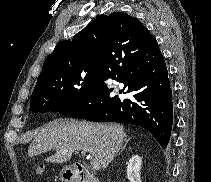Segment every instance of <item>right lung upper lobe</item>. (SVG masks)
<instances>
[{
    "label": "right lung upper lobe",
    "instance_id": "right-lung-upper-lobe-1",
    "mask_svg": "<svg viewBox=\"0 0 211 182\" xmlns=\"http://www.w3.org/2000/svg\"><path fill=\"white\" fill-rule=\"evenodd\" d=\"M152 37L136 18L122 12L100 15L72 40L59 42L45 59L36 86L53 82L74 73L99 67L104 46L127 44ZM35 86V87H36Z\"/></svg>",
    "mask_w": 211,
    "mask_h": 182
}]
</instances>
